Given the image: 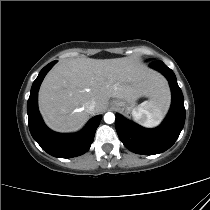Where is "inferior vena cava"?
Listing matches in <instances>:
<instances>
[{"label": "inferior vena cava", "mask_w": 210, "mask_h": 210, "mask_svg": "<svg viewBox=\"0 0 210 210\" xmlns=\"http://www.w3.org/2000/svg\"><path fill=\"white\" fill-rule=\"evenodd\" d=\"M96 107V102L95 101H90L87 105V110L92 113Z\"/></svg>", "instance_id": "602c4592"}]
</instances>
